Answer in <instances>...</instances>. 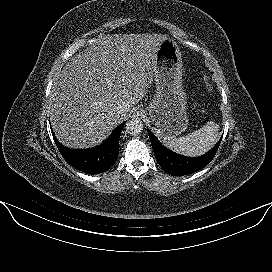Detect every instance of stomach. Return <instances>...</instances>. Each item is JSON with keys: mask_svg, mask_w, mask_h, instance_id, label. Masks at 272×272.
Masks as SVG:
<instances>
[{"mask_svg": "<svg viewBox=\"0 0 272 272\" xmlns=\"http://www.w3.org/2000/svg\"><path fill=\"white\" fill-rule=\"evenodd\" d=\"M156 94L147 106L161 137L176 136L188 127L187 97L182 84V57L172 38L162 42L157 52Z\"/></svg>", "mask_w": 272, "mask_h": 272, "instance_id": "0dacf381", "label": "stomach"}]
</instances>
